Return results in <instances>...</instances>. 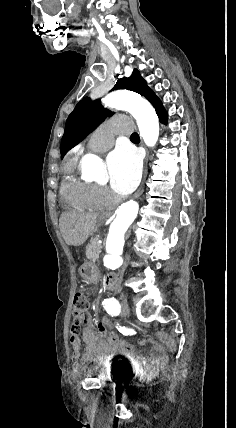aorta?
Segmentation results:
<instances>
[{
    "label": "aorta",
    "mask_w": 236,
    "mask_h": 428,
    "mask_svg": "<svg viewBox=\"0 0 236 428\" xmlns=\"http://www.w3.org/2000/svg\"><path fill=\"white\" fill-rule=\"evenodd\" d=\"M105 107L128 111L137 121L140 136L145 144L153 147L159 137V120L152 105L140 95L127 90H118L109 93L102 99ZM82 166L92 171L95 179L104 178V171L100 160L93 154L86 155L82 160ZM139 205L135 201L123 203L116 211V217L110 225L106 240V255L104 265L110 269L122 266L124 236L137 217Z\"/></svg>",
    "instance_id": "aorta-1"
}]
</instances>
